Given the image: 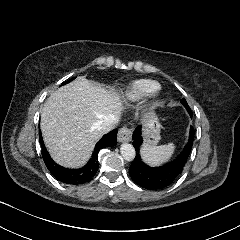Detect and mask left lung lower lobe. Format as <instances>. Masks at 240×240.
Here are the masks:
<instances>
[{
    "label": "left lung lower lobe",
    "instance_id": "0a47b994",
    "mask_svg": "<svg viewBox=\"0 0 240 240\" xmlns=\"http://www.w3.org/2000/svg\"><path fill=\"white\" fill-rule=\"evenodd\" d=\"M132 139V144L137 152L136 157L129 168L132 180L140 187L150 190H158L169 186L182 171L192 148L194 129L191 128L188 143L177 159L160 167H149L141 160L139 154V148L142 144L140 125L136 127Z\"/></svg>",
    "mask_w": 240,
    "mask_h": 240
}]
</instances>
